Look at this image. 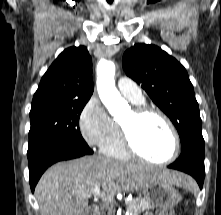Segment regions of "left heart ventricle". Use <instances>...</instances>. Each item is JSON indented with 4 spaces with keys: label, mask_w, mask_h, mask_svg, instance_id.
<instances>
[{
    "label": "left heart ventricle",
    "mask_w": 221,
    "mask_h": 215,
    "mask_svg": "<svg viewBox=\"0 0 221 215\" xmlns=\"http://www.w3.org/2000/svg\"><path fill=\"white\" fill-rule=\"evenodd\" d=\"M132 134L136 147L148 158L161 161L173 150V138L166 124L154 114L135 119L129 112L121 121Z\"/></svg>",
    "instance_id": "b2bd125f"
}]
</instances>
